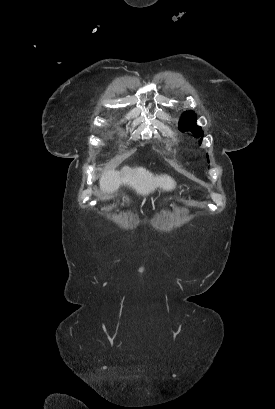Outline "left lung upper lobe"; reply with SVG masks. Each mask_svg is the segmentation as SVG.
<instances>
[{
    "label": "left lung upper lobe",
    "instance_id": "obj_1",
    "mask_svg": "<svg viewBox=\"0 0 275 409\" xmlns=\"http://www.w3.org/2000/svg\"><path fill=\"white\" fill-rule=\"evenodd\" d=\"M179 128L182 131H191L196 137L203 135L201 127L196 125V115L193 111H187L182 115L179 121ZM201 140L202 139H200V142Z\"/></svg>",
    "mask_w": 275,
    "mask_h": 409
}]
</instances>
